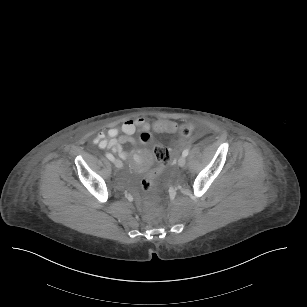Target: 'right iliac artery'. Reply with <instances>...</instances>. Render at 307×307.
I'll return each instance as SVG.
<instances>
[{
	"instance_id": "1",
	"label": "right iliac artery",
	"mask_w": 307,
	"mask_h": 307,
	"mask_svg": "<svg viewBox=\"0 0 307 307\" xmlns=\"http://www.w3.org/2000/svg\"><path fill=\"white\" fill-rule=\"evenodd\" d=\"M106 157L111 160V161H114V156L110 153H106Z\"/></svg>"
}]
</instances>
